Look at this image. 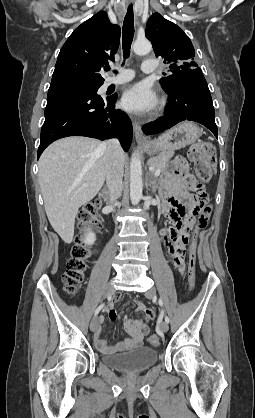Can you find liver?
Instances as JSON below:
<instances>
[{"label": "liver", "instance_id": "liver-1", "mask_svg": "<svg viewBox=\"0 0 255 418\" xmlns=\"http://www.w3.org/2000/svg\"><path fill=\"white\" fill-rule=\"evenodd\" d=\"M103 143L87 137H67L52 143L40 157L39 182L45 211L53 229L67 244L73 240L78 209L104 184ZM122 159L125 163L123 151Z\"/></svg>", "mask_w": 255, "mask_h": 418}]
</instances>
